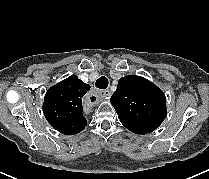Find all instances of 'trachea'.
I'll return each mask as SVG.
<instances>
[{"mask_svg":"<svg viewBox=\"0 0 209 179\" xmlns=\"http://www.w3.org/2000/svg\"><path fill=\"white\" fill-rule=\"evenodd\" d=\"M95 86L99 89H106L108 87V79L104 76L100 77L96 81Z\"/></svg>","mask_w":209,"mask_h":179,"instance_id":"trachea-1","label":"trachea"}]
</instances>
